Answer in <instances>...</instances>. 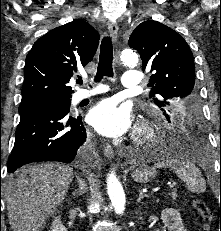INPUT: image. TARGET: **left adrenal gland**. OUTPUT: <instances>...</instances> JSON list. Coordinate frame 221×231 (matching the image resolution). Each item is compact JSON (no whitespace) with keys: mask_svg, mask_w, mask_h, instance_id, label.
Segmentation results:
<instances>
[{"mask_svg":"<svg viewBox=\"0 0 221 231\" xmlns=\"http://www.w3.org/2000/svg\"><path fill=\"white\" fill-rule=\"evenodd\" d=\"M145 197H147V195L143 194L142 190H139V197L137 199V202L140 203Z\"/></svg>","mask_w":221,"mask_h":231,"instance_id":"a2214340","label":"left adrenal gland"}]
</instances>
